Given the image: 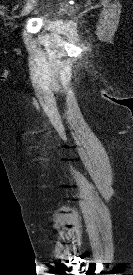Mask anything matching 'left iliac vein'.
Listing matches in <instances>:
<instances>
[{"instance_id":"obj_1","label":"left iliac vein","mask_w":133,"mask_h":275,"mask_svg":"<svg viewBox=\"0 0 133 275\" xmlns=\"http://www.w3.org/2000/svg\"><path fill=\"white\" fill-rule=\"evenodd\" d=\"M38 0H27L26 4L24 5L21 15L25 16L27 15L32 9L33 7L36 5Z\"/></svg>"}]
</instances>
